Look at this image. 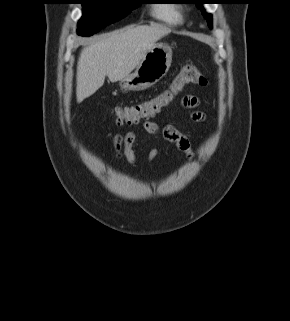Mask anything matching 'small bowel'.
I'll use <instances>...</instances> for the list:
<instances>
[{"instance_id": "1", "label": "small bowel", "mask_w": 290, "mask_h": 321, "mask_svg": "<svg viewBox=\"0 0 290 321\" xmlns=\"http://www.w3.org/2000/svg\"><path fill=\"white\" fill-rule=\"evenodd\" d=\"M183 108L189 111L190 118L195 122L205 120V113L199 109V99L195 96H185L181 101ZM146 132L152 135H162L166 140L173 143L180 151L186 154L191 152V143L189 138L177 130L173 125L167 124L160 127L156 122L146 121L143 124ZM136 136L133 132L125 134L117 133L113 137V145L118 157H124L129 163H135L136 156L133 150V145ZM157 155V150H152L149 158L153 159Z\"/></svg>"}]
</instances>
